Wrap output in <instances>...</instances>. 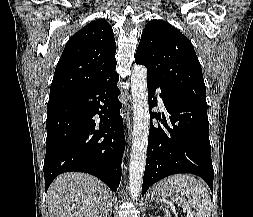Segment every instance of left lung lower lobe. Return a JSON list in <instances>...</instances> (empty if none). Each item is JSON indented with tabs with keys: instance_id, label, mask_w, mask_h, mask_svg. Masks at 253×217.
I'll use <instances>...</instances> for the list:
<instances>
[{
	"instance_id": "obj_1",
	"label": "left lung lower lobe",
	"mask_w": 253,
	"mask_h": 217,
	"mask_svg": "<svg viewBox=\"0 0 253 217\" xmlns=\"http://www.w3.org/2000/svg\"><path fill=\"white\" fill-rule=\"evenodd\" d=\"M149 108L156 105V88L170 116L150 113L163 124L150 121L146 167L142 195L160 179L177 173H192L203 178L213 190L214 170L211 161L207 104L163 90L148 79Z\"/></svg>"
}]
</instances>
